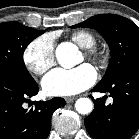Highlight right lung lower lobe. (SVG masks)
Segmentation results:
<instances>
[{
  "label": "right lung lower lobe",
  "instance_id": "1",
  "mask_svg": "<svg viewBox=\"0 0 139 139\" xmlns=\"http://www.w3.org/2000/svg\"><path fill=\"white\" fill-rule=\"evenodd\" d=\"M38 92L34 79L22 80L0 72V139H46L53 112L65 105L63 98L32 102ZM26 103L30 104L29 109Z\"/></svg>",
  "mask_w": 139,
  "mask_h": 139
}]
</instances>
